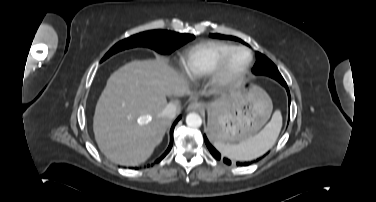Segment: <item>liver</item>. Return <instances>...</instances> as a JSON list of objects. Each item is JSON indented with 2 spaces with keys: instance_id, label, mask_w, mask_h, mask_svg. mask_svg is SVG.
Segmentation results:
<instances>
[{
  "instance_id": "obj_1",
  "label": "liver",
  "mask_w": 376,
  "mask_h": 202,
  "mask_svg": "<svg viewBox=\"0 0 376 202\" xmlns=\"http://www.w3.org/2000/svg\"><path fill=\"white\" fill-rule=\"evenodd\" d=\"M188 94L186 81L166 57L120 67L109 77L96 105L93 130L99 149L116 164L145 162L171 125L172 119L161 116L167 97ZM170 103L179 113L180 103Z\"/></svg>"
}]
</instances>
